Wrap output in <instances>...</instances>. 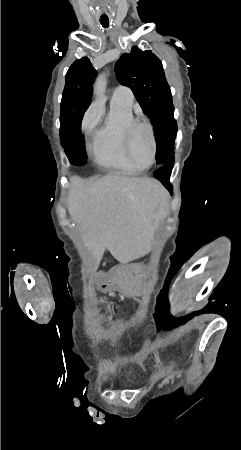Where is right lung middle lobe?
Listing matches in <instances>:
<instances>
[{
  "instance_id": "right-lung-middle-lobe-1",
  "label": "right lung middle lobe",
  "mask_w": 241,
  "mask_h": 450,
  "mask_svg": "<svg viewBox=\"0 0 241 450\" xmlns=\"http://www.w3.org/2000/svg\"><path fill=\"white\" fill-rule=\"evenodd\" d=\"M96 74L79 75L66 80L62 94L61 115H60V139L66 142V135L74 120L82 115L91 103L92 84ZM73 165H83L86 163V151L81 154H67Z\"/></svg>"
}]
</instances>
